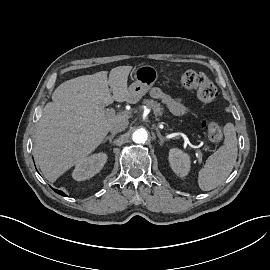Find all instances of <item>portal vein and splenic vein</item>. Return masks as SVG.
<instances>
[{
	"label": "portal vein and splenic vein",
	"mask_w": 270,
	"mask_h": 270,
	"mask_svg": "<svg viewBox=\"0 0 270 270\" xmlns=\"http://www.w3.org/2000/svg\"><path fill=\"white\" fill-rule=\"evenodd\" d=\"M107 111L114 112L113 109H110V110H107ZM189 144H190V143H189ZM190 145H191V144H190ZM191 147L194 148V149H196V150L198 149V147L195 146V145H191ZM197 152H198V154H199V155H198L199 159H201V154H200V152H199L198 150H197Z\"/></svg>",
	"instance_id": "1"
}]
</instances>
